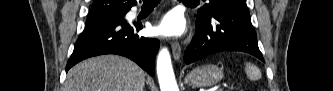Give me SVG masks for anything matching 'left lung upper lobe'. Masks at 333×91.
<instances>
[{
  "label": "left lung upper lobe",
  "instance_id": "obj_1",
  "mask_svg": "<svg viewBox=\"0 0 333 91\" xmlns=\"http://www.w3.org/2000/svg\"><path fill=\"white\" fill-rule=\"evenodd\" d=\"M231 4H246V0H209L197 11V18L209 15L218 6Z\"/></svg>",
  "mask_w": 333,
  "mask_h": 91
}]
</instances>
